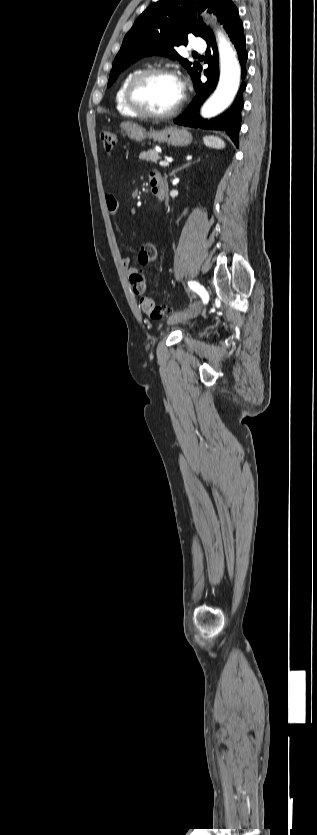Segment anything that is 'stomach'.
<instances>
[{
    "mask_svg": "<svg viewBox=\"0 0 317 835\" xmlns=\"http://www.w3.org/2000/svg\"><path fill=\"white\" fill-rule=\"evenodd\" d=\"M120 126L131 140L138 142L145 138H150L154 141L177 147H185L192 142V134L186 129L166 127L162 130H154L151 128L149 131H146L142 126L132 122H123Z\"/></svg>",
    "mask_w": 317,
    "mask_h": 835,
    "instance_id": "1",
    "label": "stomach"
}]
</instances>
